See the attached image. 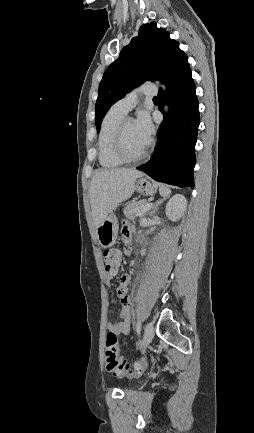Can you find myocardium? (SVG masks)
<instances>
[{"instance_id": "f54148a6", "label": "myocardium", "mask_w": 254, "mask_h": 433, "mask_svg": "<svg viewBox=\"0 0 254 433\" xmlns=\"http://www.w3.org/2000/svg\"><path fill=\"white\" fill-rule=\"evenodd\" d=\"M132 120L130 117H124L120 123L117 126L115 135H114V141H113V148L115 154L123 161V162H137L143 159L146 154L148 153L150 147H151V140L148 141L146 147L137 155H130L124 146V129L125 125L128 121Z\"/></svg>"}]
</instances>
